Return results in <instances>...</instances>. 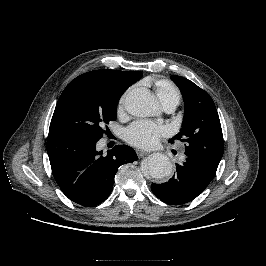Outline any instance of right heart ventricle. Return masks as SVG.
<instances>
[{
    "mask_svg": "<svg viewBox=\"0 0 266 266\" xmlns=\"http://www.w3.org/2000/svg\"><path fill=\"white\" fill-rule=\"evenodd\" d=\"M155 92L162 104L175 103L180 101V92L177 87L166 79L154 80Z\"/></svg>",
    "mask_w": 266,
    "mask_h": 266,
    "instance_id": "1",
    "label": "right heart ventricle"
}]
</instances>
